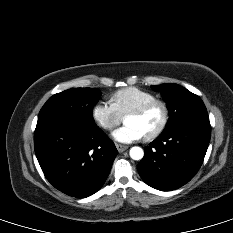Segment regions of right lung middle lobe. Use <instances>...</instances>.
Listing matches in <instances>:
<instances>
[{"instance_id": "obj_1", "label": "right lung middle lobe", "mask_w": 233, "mask_h": 233, "mask_svg": "<svg viewBox=\"0 0 233 233\" xmlns=\"http://www.w3.org/2000/svg\"><path fill=\"white\" fill-rule=\"evenodd\" d=\"M101 92L93 88H73L51 96L40 110L38 121L51 117H68L92 123V108Z\"/></svg>"}]
</instances>
